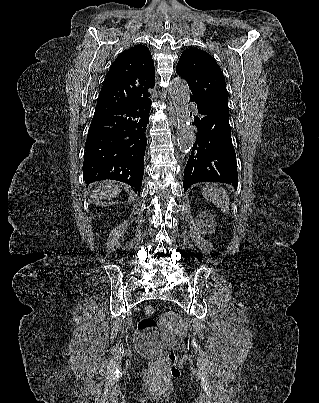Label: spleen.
Listing matches in <instances>:
<instances>
[{
	"instance_id": "1",
	"label": "spleen",
	"mask_w": 319,
	"mask_h": 403,
	"mask_svg": "<svg viewBox=\"0 0 319 403\" xmlns=\"http://www.w3.org/2000/svg\"><path fill=\"white\" fill-rule=\"evenodd\" d=\"M201 191L206 200L219 207L224 214H228L230 202L225 189L217 184H206Z\"/></svg>"
}]
</instances>
